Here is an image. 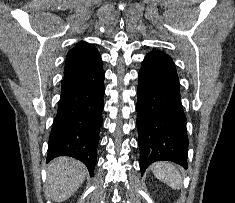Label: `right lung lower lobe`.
<instances>
[{
	"mask_svg": "<svg viewBox=\"0 0 235 203\" xmlns=\"http://www.w3.org/2000/svg\"><path fill=\"white\" fill-rule=\"evenodd\" d=\"M104 77L100 55L64 75L47 162L58 156H70L82 161L93 176L102 124Z\"/></svg>",
	"mask_w": 235,
	"mask_h": 203,
	"instance_id": "right-lung-lower-lobe-1",
	"label": "right lung lower lobe"
}]
</instances>
